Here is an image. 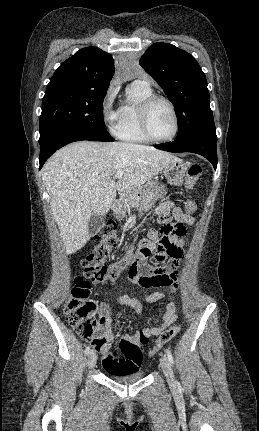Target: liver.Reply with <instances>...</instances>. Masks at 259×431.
I'll return each mask as SVG.
<instances>
[{
  "instance_id": "6515ba94",
  "label": "liver",
  "mask_w": 259,
  "mask_h": 431,
  "mask_svg": "<svg viewBox=\"0 0 259 431\" xmlns=\"http://www.w3.org/2000/svg\"><path fill=\"white\" fill-rule=\"evenodd\" d=\"M177 160L171 153L125 142L78 141L58 150L43 166L42 180L66 253L87 243L91 214L106 215L117 190L126 197L137 193ZM118 171L124 174L115 183Z\"/></svg>"
}]
</instances>
